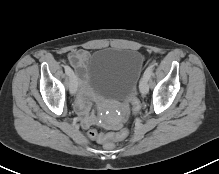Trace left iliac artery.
<instances>
[{"instance_id":"44dca946","label":"left iliac artery","mask_w":219,"mask_h":174,"mask_svg":"<svg viewBox=\"0 0 219 174\" xmlns=\"http://www.w3.org/2000/svg\"><path fill=\"white\" fill-rule=\"evenodd\" d=\"M153 70H154V65H153V64L149 65L148 68L145 70V72H144V77H145L147 80L150 79V77H151V75H152V73H153Z\"/></svg>"}]
</instances>
